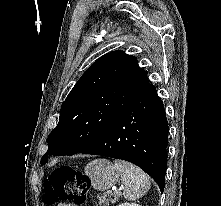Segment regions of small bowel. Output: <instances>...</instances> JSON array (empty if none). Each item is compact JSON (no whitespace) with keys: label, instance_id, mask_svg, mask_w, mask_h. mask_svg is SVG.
<instances>
[{"label":"small bowel","instance_id":"1","mask_svg":"<svg viewBox=\"0 0 221 206\" xmlns=\"http://www.w3.org/2000/svg\"><path fill=\"white\" fill-rule=\"evenodd\" d=\"M60 206H73V205H71V204H62Z\"/></svg>","mask_w":221,"mask_h":206}]
</instances>
